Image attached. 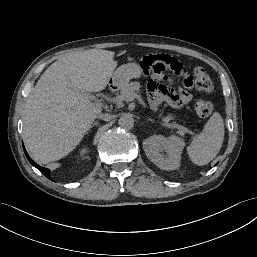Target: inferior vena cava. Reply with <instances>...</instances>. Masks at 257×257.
Wrapping results in <instances>:
<instances>
[{
    "label": "inferior vena cava",
    "instance_id": "inferior-vena-cava-1",
    "mask_svg": "<svg viewBox=\"0 0 257 257\" xmlns=\"http://www.w3.org/2000/svg\"><path fill=\"white\" fill-rule=\"evenodd\" d=\"M97 118H100L104 121H109L113 118V116L111 114H108V113H98Z\"/></svg>",
    "mask_w": 257,
    "mask_h": 257
}]
</instances>
